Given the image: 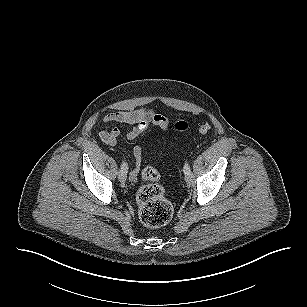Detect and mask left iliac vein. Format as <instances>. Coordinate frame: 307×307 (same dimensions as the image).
I'll return each instance as SVG.
<instances>
[{
  "instance_id": "left-iliac-vein-1",
  "label": "left iliac vein",
  "mask_w": 307,
  "mask_h": 307,
  "mask_svg": "<svg viewBox=\"0 0 307 307\" xmlns=\"http://www.w3.org/2000/svg\"><path fill=\"white\" fill-rule=\"evenodd\" d=\"M185 180H186V182H187V184L189 186L193 185V183H194V175H193L191 170L188 171V173L185 174Z\"/></svg>"
}]
</instances>
